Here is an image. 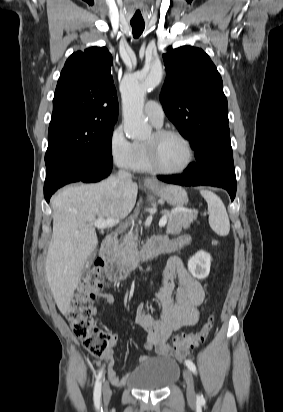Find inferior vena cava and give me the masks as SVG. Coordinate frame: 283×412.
Here are the masks:
<instances>
[{"mask_svg":"<svg viewBox=\"0 0 283 412\" xmlns=\"http://www.w3.org/2000/svg\"><path fill=\"white\" fill-rule=\"evenodd\" d=\"M117 176L118 177L128 178V177H131V174L127 171L119 170L118 173H117Z\"/></svg>","mask_w":283,"mask_h":412,"instance_id":"inferior-vena-cava-1","label":"inferior vena cava"}]
</instances>
